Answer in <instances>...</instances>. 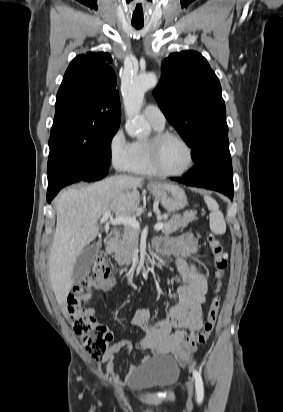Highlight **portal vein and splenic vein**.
Returning a JSON list of instances; mask_svg holds the SVG:
<instances>
[{
    "instance_id": "portal-vein-and-splenic-vein-1",
    "label": "portal vein and splenic vein",
    "mask_w": 283,
    "mask_h": 412,
    "mask_svg": "<svg viewBox=\"0 0 283 412\" xmlns=\"http://www.w3.org/2000/svg\"><path fill=\"white\" fill-rule=\"evenodd\" d=\"M110 215H111V212L110 211H106L105 213H104V215L101 217V219H100V223H105V222H107L108 221V219H109V222H110V224L111 225H124V226H126V227H132V228H135V229H140V224H139V222L135 219V218H132V217H116V218H111L110 217ZM163 223L162 222H158L157 224H155V226H154V229L156 230V231H159V230H161L162 228H163Z\"/></svg>"
}]
</instances>
